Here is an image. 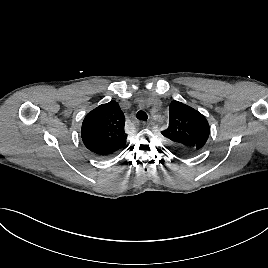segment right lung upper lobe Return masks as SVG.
<instances>
[{
	"label": "right lung upper lobe",
	"instance_id": "cb5924a9",
	"mask_svg": "<svg viewBox=\"0 0 268 268\" xmlns=\"http://www.w3.org/2000/svg\"><path fill=\"white\" fill-rule=\"evenodd\" d=\"M125 117L116 101L102 104L89 112L82 123L84 145L93 153L108 157L126 144Z\"/></svg>",
	"mask_w": 268,
	"mask_h": 268
}]
</instances>
